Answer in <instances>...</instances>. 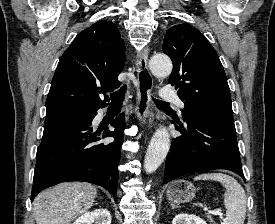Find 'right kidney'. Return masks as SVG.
I'll use <instances>...</instances> for the list:
<instances>
[{
    "label": "right kidney",
    "mask_w": 275,
    "mask_h": 224,
    "mask_svg": "<svg viewBox=\"0 0 275 224\" xmlns=\"http://www.w3.org/2000/svg\"><path fill=\"white\" fill-rule=\"evenodd\" d=\"M73 224H111V215L107 209H96L83 214Z\"/></svg>",
    "instance_id": "right-kidney-1"
}]
</instances>
